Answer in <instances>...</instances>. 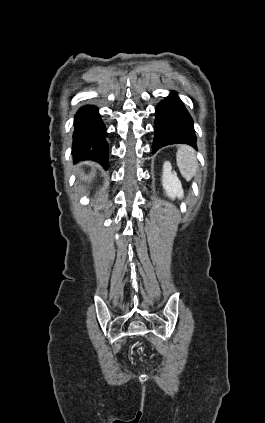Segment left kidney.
I'll return each instance as SVG.
<instances>
[{
  "instance_id": "1",
  "label": "left kidney",
  "mask_w": 265,
  "mask_h": 423,
  "mask_svg": "<svg viewBox=\"0 0 265 423\" xmlns=\"http://www.w3.org/2000/svg\"><path fill=\"white\" fill-rule=\"evenodd\" d=\"M162 185L165 193L171 199L182 198L183 189L181 182L175 171H172L171 164L166 161L163 165Z\"/></svg>"
}]
</instances>
